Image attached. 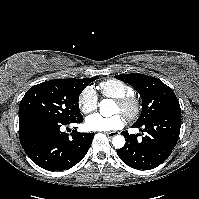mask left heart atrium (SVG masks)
<instances>
[{
	"mask_svg": "<svg viewBox=\"0 0 199 199\" xmlns=\"http://www.w3.org/2000/svg\"><path fill=\"white\" fill-rule=\"evenodd\" d=\"M124 122V117L119 113L110 117L93 114L86 119V126L91 131H110L121 128Z\"/></svg>",
	"mask_w": 199,
	"mask_h": 199,
	"instance_id": "39dd6f15",
	"label": "left heart atrium"
}]
</instances>
